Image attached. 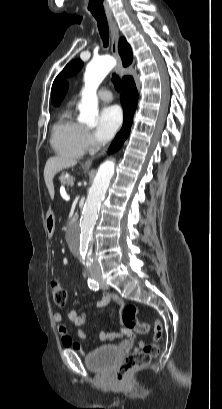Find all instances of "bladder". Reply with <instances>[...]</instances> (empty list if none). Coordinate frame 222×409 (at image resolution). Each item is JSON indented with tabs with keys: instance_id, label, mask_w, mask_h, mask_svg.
Returning a JSON list of instances; mask_svg holds the SVG:
<instances>
[{
	"instance_id": "obj_1",
	"label": "bladder",
	"mask_w": 222,
	"mask_h": 409,
	"mask_svg": "<svg viewBox=\"0 0 222 409\" xmlns=\"http://www.w3.org/2000/svg\"><path fill=\"white\" fill-rule=\"evenodd\" d=\"M120 357V351L115 346L99 347L85 357L86 367L96 374H109Z\"/></svg>"
}]
</instances>
